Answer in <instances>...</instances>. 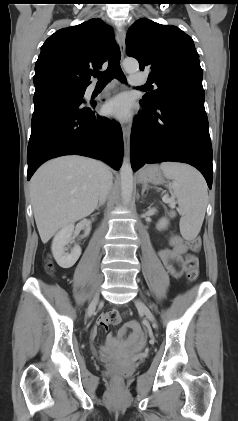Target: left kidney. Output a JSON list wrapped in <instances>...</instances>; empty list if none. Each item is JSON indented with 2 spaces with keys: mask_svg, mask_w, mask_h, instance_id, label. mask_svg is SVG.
<instances>
[{
  "mask_svg": "<svg viewBox=\"0 0 238 421\" xmlns=\"http://www.w3.org/2000/svg\"><path fill=\"white\" fill-rule=\"evenodd\" d=\"M169 221L167 218H161L157 224L158 229H165L168 225Z\"/></svg>",
  "mask_w": 238,
  "mask_h": 421,
  "instance_id": "1",
  "label": "left kidney"
}]
</instances>
